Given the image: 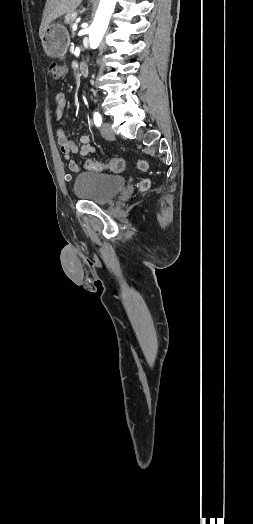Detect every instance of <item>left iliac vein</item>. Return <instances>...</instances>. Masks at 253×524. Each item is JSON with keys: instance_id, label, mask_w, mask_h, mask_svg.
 <instances>
[{"instance_id": "4c4485c4", "label": "left iliac vein", "mask_w": 253, "mask_h": 524, "mask_svg": "<svg viewBox=\"0 0 253 524\" xmlns=\"http://www.w3.org/2000/svg\"><path fill=\"white\" fill-rule=\"evenodd\" d=\"M101 134L105 139H111L114 137V132L112 130L111 124L104 122L101 126Z\"/></svg>"}]
</instances>
